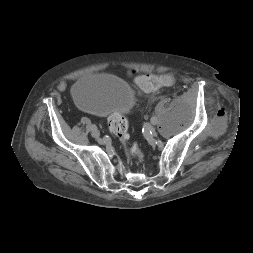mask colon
I'll return each mask as SVG.
<instances>
[{"mask_svg":"<svg viewBox=\"0 0 253 253\" xmlns=\"http://www.w3.org/2000/svg\"><path fill=\"white\" fill-rule=\"evenodd\" d=\"M175 78L172 74L141 75L135 76L134 82L145 92L154 91L163 86L173 85ZM110 131L123 143L129 152L131 158H140L141 153L136 142L131 138L128 132V121L122 114H113L108 121Z\"/></svg>","mask_w":253,"mask_h":253,"instance_id":"obj_1","label":"colon"}]
</instances>
